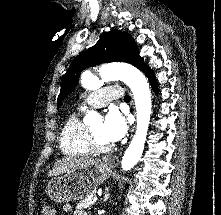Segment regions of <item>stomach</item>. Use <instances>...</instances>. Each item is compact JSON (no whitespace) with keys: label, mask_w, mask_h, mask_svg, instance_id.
I'll return each instance as SVG.
<instances>
[{"label":"stomach","mask_w":221,"mask_h":215,"mask_svg":"<svg viewBox=\"0 0 221 215\" xmlns=\"http://www.w3.org/2000/svg\"><path fill=\"white\" fill-rule=\"evenodd\" d=\"M111 174L110 167L101 160H95L84 168L51 179L45 192L58 203L84 199L92 195Z\"/></svg>","instance_id":"stomach-1"}]
</instances>
